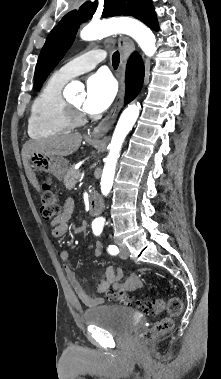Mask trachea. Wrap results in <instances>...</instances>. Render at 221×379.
Segmentation results:
<instances>
[{
  "instance_id": "3493384b",
  "label": "trachea",
  "mask_w": 221,
  "mask_h": 379,
  "mask_svg": "<svg viewBox=\"0 0 221 379\" xmlns=\"http://www.w3.org/2000/svg\"><path fill=\"white\" fill-rule=\"evenodd\" d=\"M119 59H120V56H119V52L116 51L113 56H112V65L115 69L118 68V65H119Z\"/></svg>"
}]
</instances>
